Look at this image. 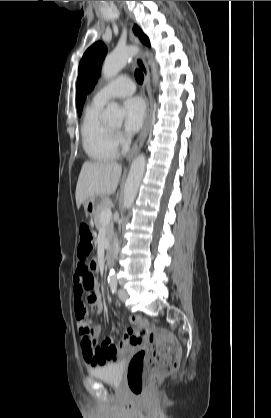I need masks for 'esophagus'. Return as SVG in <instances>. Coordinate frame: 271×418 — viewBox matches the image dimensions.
<instances>
[{"instance_id":"obj_1","label":"esophagus","mask_w":271,"mask_h":418,"mask_svg":"<svg viewBox=\"0 0 271 418\" xmlns=\"http://www.w3.org/2000/svg\"><path fill=\"white\" fill-rule=\"evenodd\" d=\"M130 40L134 45L136 46L140 45L138 38L133 34L131 28H130ZM135 62L137 66L140 68V70L142 71L143 76H144L143 95L146 101L147 110H146V120H145L144 127L140 135L138 136L135 144L133 145L130 153L127 156L128 161H130L133 158V156L141 149V147L143 146L147 138L149 127H150V120L152 116V110H153V102H152V97H151V86H150V74H149V69H148L146 60L141 53H138L135 57Z\"/></svg>"}]
</instances>
